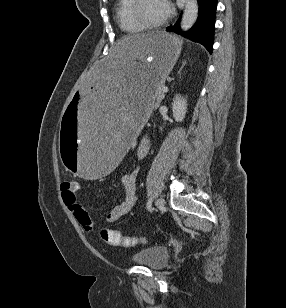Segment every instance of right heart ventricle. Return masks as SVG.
I'll return each instance as SVG.
<instances>
[{"label": "right heart ventricle", "instance_id": "obj_1", "mask_svg": "<svg viewBox=\"0 0 286 308\" xmlns=\"http://www.w3.org/2000/svg\"><path fill=\"white\" fill-rule=\"evenodd\" d=\"M134 0H118L116 18L119 28L128 34H136L144 31L131 16L130 9Z\"/></svg>", "mask_w": 286, "mask_h": 308}]
</instances>
